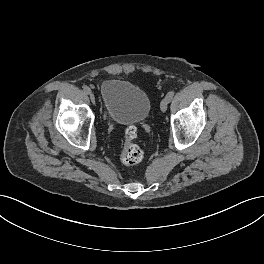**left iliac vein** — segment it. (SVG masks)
<instances>
[{
  "label": "left iliac vein",
  "instance_id": "1",
  "mask_svg": "<svg viewBox=\"0 0 264 264\" xmlns=\"http://www.w3.org/2000/svg\"><path fill=\"white\" fill-rule=\"evenodd\" d=\"M168 103H169V101L166 98H164L161 101V103H160V109H161L162 112H165L167 110Z\"/></svg>",
  "mask_w": 264,
  "mask_h": 264
}]
</instances>
